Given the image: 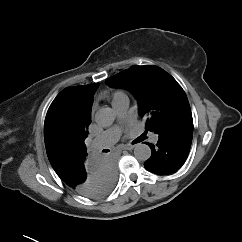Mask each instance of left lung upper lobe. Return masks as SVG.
Wrapping results in <instances>:
<instances>
[{"label": "left lung upper lobe", "instance_id": "left-lung-upper-lobe-1", "mask_svg": "<svg viewBox=\"0 0 242 242\" xmlns=\"http://www.w3.org/2000/svg\"><path fill=\"white\" fill-rule=\"evenodd\" d=\"M111 87L130 90L137 98L146 129L157 133L167 125L192 115L187 96L177 81L157 66H132L106 79Z\"/></svg>", "mask_w": 242, "mask_h": 242}]
</instances>
